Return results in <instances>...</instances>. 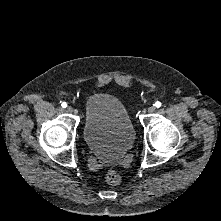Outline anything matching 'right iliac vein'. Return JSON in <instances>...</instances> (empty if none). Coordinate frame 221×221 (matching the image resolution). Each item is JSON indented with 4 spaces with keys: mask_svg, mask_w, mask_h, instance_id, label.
I'll return each instance as SVG.
<instances>
[{
    "mask_svg": "<svg viewBox=\"0 0 221 221\" xmlns=\"http://www.w3.org/2000/svg\"><path fill=\"white\" fill-rule=\"evenodd\" d=\"M67 111H68L69 113H72V112H73V108H72L71 106H68V107H67Z\"/></svg>",
    "mask_w": 221,
    "mask_h": 221,
    "instance_id": "right-iliac-vein-1",
    "label": "right iliac vein"
}]
</instances>
